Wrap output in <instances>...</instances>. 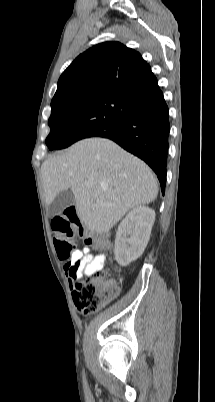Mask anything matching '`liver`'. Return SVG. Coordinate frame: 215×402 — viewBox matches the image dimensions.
<instances>
[{
	"mask_svg": "<svg viewBox=\"0 0 215 402\" xmlns=\"http://www.w3.org/2000/svg\"><path fill=\"white\" fill-rule=\"evenodd\" d=\"M41 176L46 204L70 189L77 216L91 233L109 232L130 209L151 203L158 194L152 170L104 138L81 140L46 159Z\"/></svg>",
	"mask_w": 215,
	"mask_h": 402,
	"instance_id": "liver-1",
	"label": "liver"
}]
</instances>
